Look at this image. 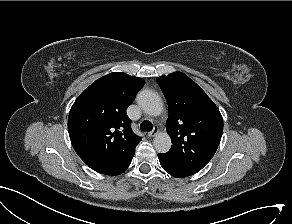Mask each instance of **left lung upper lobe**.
Segmentation results:
<instances>
[{
  "label": "left lung upper lobe",
  "mask_w": 292,
  "mask_h": 224,
  "mask_svg": "<svg viewBox=\"0 0 292 224\" xmlns=\"http://www.w3.org/2000/svg\"><path fill=\"white\" fill-rule=\"evenodd\" d=\"M169 107L166 129L171 149L161 158L197 173L214 156L221 140L223 119L217 106L187 75L174 72L156 79Z\"/></svg>",
  "instance_id": "1"
}]
</instances>
